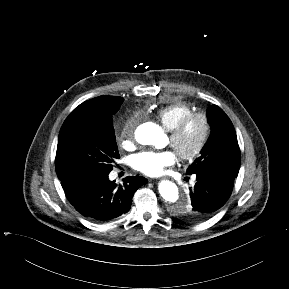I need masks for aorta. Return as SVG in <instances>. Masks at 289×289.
Returning a JSON list of instances; mask_svg holds the SVG:
<instances>
[{"instance_id": "obj_1", "label": "aorta", "mask_w": 289, "mask_h": 289, "mask_svg": "<svg viewBox=\"0 0 289 289\" xmlns=\"http://www.w3.org/2000/svg\"><path fill=\"white\" fill-rule=\"evenodd\" d=\"M162 137V129L154 123L142 124L135 133L137 142L142 145H155L158 147ZM158 189L163 199L174 204L173 209L178 210V208L187 206L188 203L186 200L180 201L179 190L175 183L168 180L161 181Z\"/></svg>"}]
</instances>
